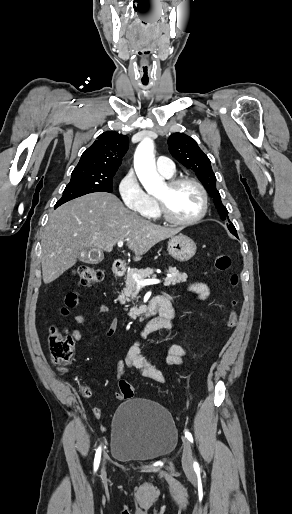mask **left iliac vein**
Segmentation results:
<instances>
[{"instance_id": "left-iliac-vein-1", "label": "left iliac vein", "mask_w": 292, "mask_h": 514, "mask_svg": "<svg viewBox=\"0 0 292 514\" xmlns=\"http://www.w3.org/2000/svg\"><path fill=\"white\" fill-rule=\"evenodd\" d=\"M183 453H182V466L185 470L190 471L193 468L192 448L189 440L182 437Z\"/></svg>"}]
</instances>
